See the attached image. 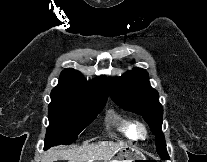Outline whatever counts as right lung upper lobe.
Returning a JSON list of instances; mask_svg holds the SVG:
<instances>
[{
	"instance_id": "cb5924a9",
	"label": "right lung upper lobe",
	"mask_w": 207,
	"mask_h": 162,
	"mask_svg": "<svg viewBox=\"0 0 207 162\" xmlns=\"http://www.w3.org/2000/svg\"><path fill=\"white\" fill-rule=\"evenodd\" d=\"M51 94L107 99L108 82L105 76H101L92 82H87L79 71L65 69L60 75L59 84L52 90Z\"/></svg>"
}]
</instances>
